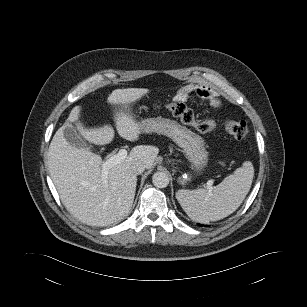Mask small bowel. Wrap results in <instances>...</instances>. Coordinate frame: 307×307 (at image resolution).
<instances>
[{
	"instance_id": "c3829d8e",
	"label": "small bowel",
	"mask_w": 307,
	"mask_h": 307,
	"mask_svg": "<svg viewBox=\"0 0 307 307\" xmlns=\"http://www.w3.org/2000/svg\"><path fill=\"white\" fill-rule=\"evenodd\" d=\"M192 94L206 99L212 107H219L221 101L217 93L208 85L201 83L188 84L181 87L175 94L176 102L185 103Z\"/></svg>"
}]
</instances>
